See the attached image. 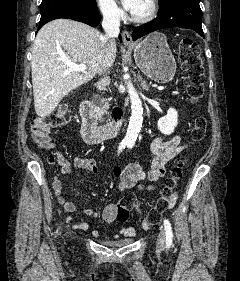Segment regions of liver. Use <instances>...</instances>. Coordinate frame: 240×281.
I'll return each mask as SVG.
<instances>
[{"label":"liver","instance_id":"liver-1","mask_svg":"<svg viewBox=\"0 0 240 281\" xmlns=\"http://www.w3.org/2000/svg\"><path fill=\"white\" fill-rule=\"evenodd\" d=\"M102 34L77 21L57 19L37 33L32 50V84L36 114L50 115L70 91L89 82L96 73L112 66L116 43H108L106 60L100 59ZM66 62L80 63L85 72L71 71Z\"/></svg>","mask_w":240,"mask_h":281}]
</instances>
